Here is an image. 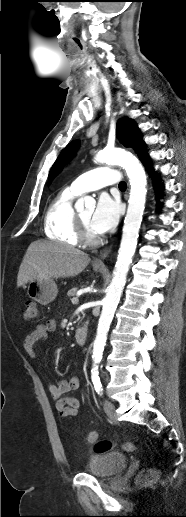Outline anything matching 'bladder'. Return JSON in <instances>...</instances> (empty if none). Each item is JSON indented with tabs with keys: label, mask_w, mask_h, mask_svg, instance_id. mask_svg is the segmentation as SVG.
I'll return each instance as SVG.
<instances>
[{
	"label": "bladder",
	"mask_w": 186,
	"mask_h": 517,
	"mask_svg": "<svg viewBox=\"0 0 186 517\" xmlns=\"http://www.w3.org/2000/svg\"><path fill=\"white\" fill-rule=\"evenodd\" d=\"M128 456L122 453H107L93 457L87 472L95 477L108 478L119 474L128 464Z\"/></svg>",
	"instance_id": "bladder-1"
}]
</instances>
